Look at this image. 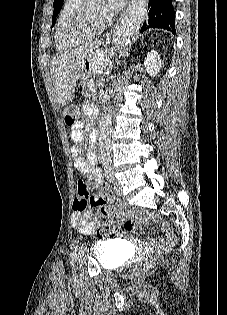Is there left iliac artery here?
<instances>
[{
    "instance_id": "obj_1",
    "label": "left iliac artery",
    "mask_w": 227,
    "mask_h": 315,
    "mask_svg": "<svg viewBox=\"0 0 227 315\" xmlns=\"http://www.w3.org/2000/svg\"><path fill=\"white\" fill-rule=\"evenodd\" d=\"M105 176L108 182L111 183L114 181V175L111 169H107L105 171ZM76 259H77V246L72 249L71 256H70V266L72 268V273L75 272Z\"/></svg>"
}]
</instances>
